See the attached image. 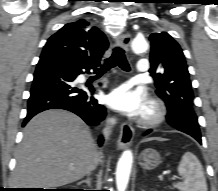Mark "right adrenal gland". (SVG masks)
I'll list each match as a JSON object with an SVG mask.
<instances>
[{
  "mask_svg": "<svg viewBox=\"0 0 218 191\" xmlns=\"http://www.w3.org/2000/svg\"><path fill=\"white\" fill-rule=\"evenodd\" d=\"M90 175H91V173H89V174L87 175L86 180H82V181L79 182L78 184L80 185V184H82V183H86V184L90 187V186H91Z\"/></svg>",
  "mask_w": 218,
  "mask_h": 191,
  "instance_id": "2a0ac1e0",
  "label": "right adrenal gland"
}]
</instances>
